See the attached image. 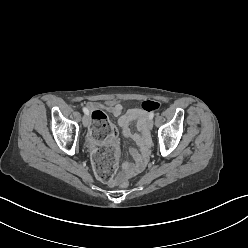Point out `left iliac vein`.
I'll list each match as a JSON object with an SVG mask.
<instances>
[{
  "label": "left iliac vein",
  "instance_id": "4c4485c4",
  "mask_svg": "<svg viewBox=\"0 0 248 248\" xmlns=\"http://www.w3.org/2000/svg\"><path fill=\"white\" fill-rule=\"evenodd\" d=\"M147 128L149 129V130H152V128H153V121L152 120H148V122H147Z\"/></svg>",
  "mask_w": 248,
  "mask_h": 248
}]
</instances>
